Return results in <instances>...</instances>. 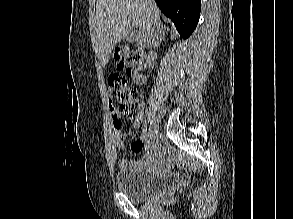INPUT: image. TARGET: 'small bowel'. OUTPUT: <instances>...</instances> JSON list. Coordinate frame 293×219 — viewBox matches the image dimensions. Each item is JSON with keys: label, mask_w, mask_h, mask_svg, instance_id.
<instances>
[{"label": "small bowel", "mask_w": 293, "mask_h": 219, "mask_svg": "<svg viewBox=\"0 0 293 219\" xmlns=\"http://www.w3.org/2000/svg\"><path fill=\"white\" fill-rule=\"evenodd\" d=\"M137 103V114L135 117V120L133 122V127L137 128L140 126L144 111H145V103L142 100H136ZM111 117H112V124L114 131L116 133L117 137V145L120 149L124 148L125 143V135L121 133V120L119 118V113L117 109L111 104L110 107ZM148 145V139L146 135H141L132 145H131V151L134 153H140L142 152ZM135 164L134 161L128 160V159H122L120 160L121 166H127V165H133Z\"/></svg>", "instance_id": "obj_1"}]
</instances>
